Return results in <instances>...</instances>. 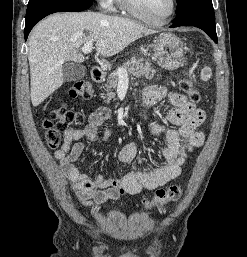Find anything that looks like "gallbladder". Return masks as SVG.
I'll return each instance as SVG.
<instances>
[{
  "label": "gallbladder",
  "instance_id": "obj_1",
  "mask_svg": "<svg viewBox=\"0 0 247 257\" xmlns=\"http://www.w3.org/2000/svg\"><path fill=\"white\" fill-rule=\"evenodd\" d=\"M62 74L67 82L77 81L85 76L86 68L79 64L66 63L63 65Z\"/></svg>",
  "mask_w": 247,
  "mask_h": 257
}]
</instances>
